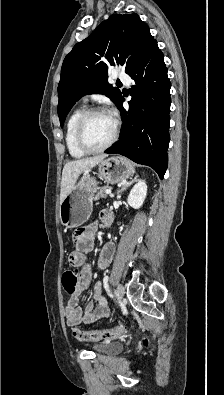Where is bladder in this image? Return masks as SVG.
I'll return each mask as SVG.
<instances>
[{"mask_svg":"<svg viewBox=\"0 0 224 395\" xmlns=\"http://www.w3.org/2000/svg\"><path fill=\"white\" fill-rule=\"evenodd\" d=\"M92 350L99 354H117L123 349L120 342H103L92 345Z\"/></svg>","mask_w":224,"mask_h":395,"instance_id":"obj_1","label":"bladder"}]
</instances>
